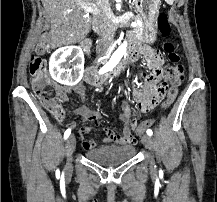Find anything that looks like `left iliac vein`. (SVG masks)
Returning <instances> with one entry per match:
<instances>
[{"mask_svg": "<svg viewBox=\"0 0 217 202\" xmlns=\"http://www.w3.org/2000/svg\"><path fill=\"white\" fill-rule=\"evenodd\" d=\"M142 142L145 145V147L150 151V153H152V149H153V139L151 138V136L149 135H143L142 136ZM151 164H154V160L153 158L151 159Z\"/></svg>", "mask_w": 217, "mask_h": 202, "instance_id": "obj_1", "label": "left iliac vein"}]
</instances>
